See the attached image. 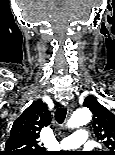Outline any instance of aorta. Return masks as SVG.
Masks as SVG:
<instances>
[{
    "label": "aorta",
    "mask_w": 115,
    "mask_h": 155,
    "mask_svg": "<svg viewBox=\"0 0 115 155\" xmlns=\"http://www.w3.org/2000/svg\"><path fill=\"white\" fill-rule=\"evenodd\" d=\"M90 120H91L90 110L88 108H80L73 113V115L67 122V126L69 128L80 127L90 122Z\"/></svg>",
    "instance_id": "obj_1"
}]
</instances>
